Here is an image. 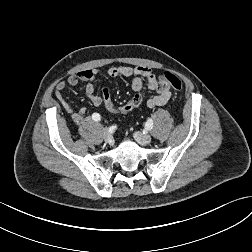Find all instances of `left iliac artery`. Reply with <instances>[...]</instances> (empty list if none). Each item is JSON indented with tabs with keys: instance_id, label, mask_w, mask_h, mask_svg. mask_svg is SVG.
Returning <instances> with one entry per match:
<instances>
[{
	"instance_id": "1",
	"label": "left iliac artery",
	"mask_w": 252,
	"mask_h": 252,
	"mask_svg": "<svg viewBox=\"0 0 252 252\" xmlns=\"http://www.w3.org/2000/svg\"><path fill=\"white\" fill-rule=\"evenodd\" d=\"M146 129L151 130L153 128V121L151 118H148L146 124H145Z\"/></svg>"
}]
</instances>
